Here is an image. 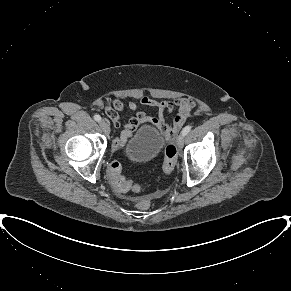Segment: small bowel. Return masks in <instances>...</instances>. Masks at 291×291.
Here are the masks:
<instances>
[{
	"mask_svg": "<svg viewBox=\"0 0 291 291\" xmlns=\"http://www.w3.org/2000/svg\"><path fill=\"white\" fill-rule=\"evenodd\" d=\"M138 100L143 106L157 109L158 114L150 115L144 111H138V104L134 101H130L128 103V107L135 113L124 125H122L120 113H122L125 109L123 102L119 99H115L112 102H106V114L115 127L121 129L112 142L113 150L122 148L127 140L132 137L133 132L139 126L146 123L152 124L166 139H173L195 108V102L188 98H178L173 102H169L158 101L150 98L149 96L141 95ZM173 112H175L176 115L173 122L169 124L166 122L165 116L166 114Z\"/></svg>",
	"mask_w": 291,
	"mask_h": 291,
	"instance_id": "1",
	"label": "small bowel"
}]
</instances>
